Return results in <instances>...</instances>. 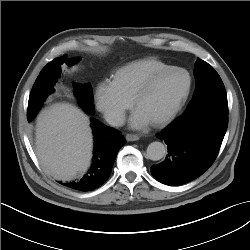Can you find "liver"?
Masks as SVG:
<instances>
[{
	"mask_svg": "<svg viewBox=\"0 0 250 250\" xmlns=\"http://www.w3.org/2000/svg\"><path fill=\"white\" fill-rule=\"evenodd\" d=\"M89 117L69 103H56L38 116L36 155L44 169L60 180L83 174L92 156Z\"/></svg>",
	"mask_w": 250,
	"mask_h": 250,
	"instance_id": "obj_1",
	"label": "liver"
}]
</instances>
